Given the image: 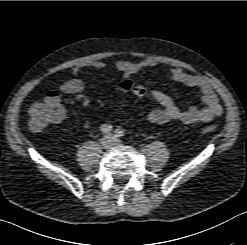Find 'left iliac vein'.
Wrapping results in <instances>:
<instances>
[{"label": "left iliac vein", "mask_w": 247, "mask_h": 245, "mask_svg": "<svg viewBox=\"0 0 247 245\" xmlns=\"http://www.w3.org/2000/svg\"><path fill=\"white\" fill-rule=\"evenodd\" d=\"M121 143H122L121 140L114 138V144L115 145H120Z\"/></svg>", "instance_id": "1"}]
</instances>
